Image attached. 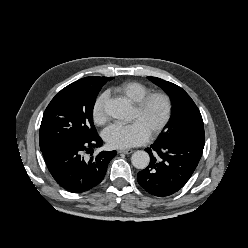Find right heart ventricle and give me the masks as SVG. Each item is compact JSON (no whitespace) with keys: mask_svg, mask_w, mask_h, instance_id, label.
<instances>
[{"mask_svg":"<svg viewBox=\"0 0 248 248\" xmlns=\"http://www.w3.org/2000/svg\"><path fill=\"white\" fill-rule=\"evenodd\" d=\"M113 90L133 103L138 102L150 92L148 86L138 81H126L116 86Z\"/></svg>","mask_w":248,"mask_h":248,"instance_id":"obj_1","label":"right heart ventricle"}]
</instances>
